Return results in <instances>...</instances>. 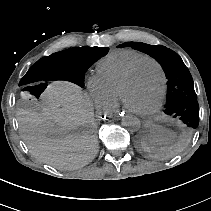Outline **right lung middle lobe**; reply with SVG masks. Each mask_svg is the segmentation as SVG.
<instances>
[{
    "label": "right lung middle lobe",
    "instance_id": "obj_1",
    "mask_svg": "<svg viewBox=\"0 0 211 211\" xmlns=\"http://www.w3.org/2000/svg\"><path fill=\"white\" fill-rule=\"evenodd\" d=\"M108 51L109 49L106 47H77L57 52L47 57L45 64H41L37 71L38 80H68L84 87L85 72ZM62 64H70L71 72L61 71L59 66Z\"/></svg>",
    "mask_w": 211,
    "mask_h": 211
}]
</instances>
